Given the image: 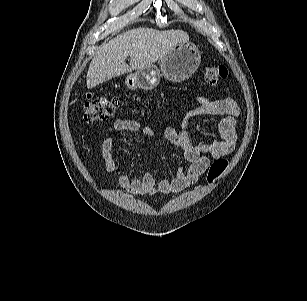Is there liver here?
Listing matches in <instances>:
<instances>
[{
	"label": "liver",
	"instance_id": "liver-1",
	"mask_svg": "<svg viewBox=\"0 0 307 301\" xmlns=\"http://www.w3.org/2000/svg\"><path fill=\"white\" fill-rule=\"evenodd\" d=\"M181 30L151 28L128 30L105 43L92 59L87 72V88L92 89L116 76L142 69L168 54L176 44L188 42ZM130 56V65L126 58Z\"/></svg>",
	"mask_w": 307,
	"mask_h": 301
}]
</instances>
